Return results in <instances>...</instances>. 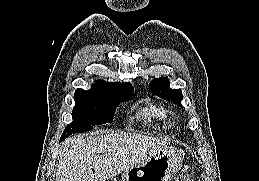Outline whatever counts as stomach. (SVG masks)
Segmentation results:
<instances>
[{"mask_svg": "<svg viewBox=\"0 0 259 181\" xmlns=\"http://www.w3.org/2000/svg\"><path fill=\"white\" fill-rule=\"evenodd\" d=\"M182 163L173 147L152 154L143 162L122 173L121 181H170Z\"/></svg>", "mask_w": 259, "mask_h": 181, "instance_id": "1", "label": "stomach"}]
</instances>
